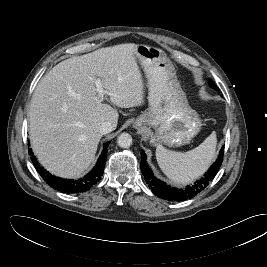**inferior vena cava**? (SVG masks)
<instances>
[{"instance_id":"1","label":"inferior vena cava","mask_w":267,"mask_h":267,"mask_svg":"<svg viewBox=\"0 0 267 267\" xmlns=\"http://www.w3.org/2000/svg\"><path fill=\"white\" fill-rule=\"evenodd\" d=\"M114 130V126L110 122H103L99 128V132L102 135L108 134Z\"/></svg>"}]
</instances>
